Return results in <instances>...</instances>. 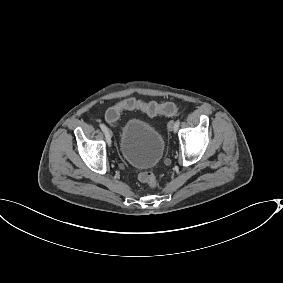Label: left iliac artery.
<instances>
[{
	"instance_id": "left-iliac-artery-1",
	"label": "left iliac artery",
	"mask_w": 283,
	"mask_h": 283,
	"mask_svg": "<svg viewBox=\"0 0 283 283\" xmlns=\"http://www.w3.org/2000/svg\"><path fill=\"white\" fill-rule=\"evenodd\" d=\"M179 125H180V120L178 119L174 124V132H177Z\"/></svg>"
}]
</instances>
